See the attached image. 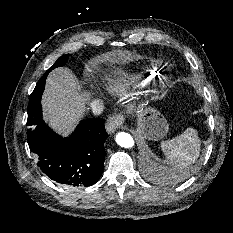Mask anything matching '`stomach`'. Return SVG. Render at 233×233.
<instances>
[{
    "label": "stomach",
    "mask_w": 233,
    "mask_h": 233,
    "mask_svg": "<svg viewBox=\"0 0 233 233\" xmlns=\"http://www.w3.org/2000/svg\"><path fill=\"white\" fill-rule=\"evenodd\" d=\"M169 125L165 117L156 109L145 107L138 115L137 131L148 140L162 139L168 132Z\"/></svg>",
    "instance_id": "obj_1"
}]
</instances>
